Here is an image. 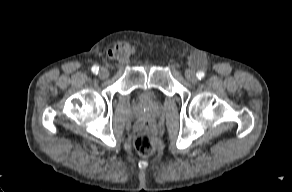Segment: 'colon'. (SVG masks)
<instances>
[{
    "label": "colon",
    "mask_w": 292,
    "mask_h": 192,
    "mask_svg": "<svg viewBox=\"0 0 292 192\" xmlns=\"http://www.w3.org/2000/svg\"><path fill=\"white\" fill-rule=\"evenodd\" d=\"M131 50L129 46L124 47ZM157 136L154 127L149 122L140 123L134 130V146L141 156H150L156 150Z\"/></svg>",
    "instance_id": "colon-1"
}]
</instances>
